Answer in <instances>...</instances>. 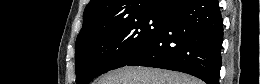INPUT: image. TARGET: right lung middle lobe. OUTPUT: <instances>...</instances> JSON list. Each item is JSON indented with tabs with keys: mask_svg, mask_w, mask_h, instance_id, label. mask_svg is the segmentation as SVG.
Returning <instances> with one entry per match:
<instances>
[{
	"mask_svg": "<svg viewBox=\"0 0 260 84\" xmlns=\"http://www.w3.org/2000/svg\"><path fill=\"white\" fill-rule=\"evenodd\" d=\"M167 14L145 13L99 26L75 47L76 83L123 67L143 53L162 32Z\"/></svg>",
	"mask_w": 260,
	"mask_h": 84,
	"instance_id": "1",
	"label": "right lung middle lobe"
}]
</instances>
